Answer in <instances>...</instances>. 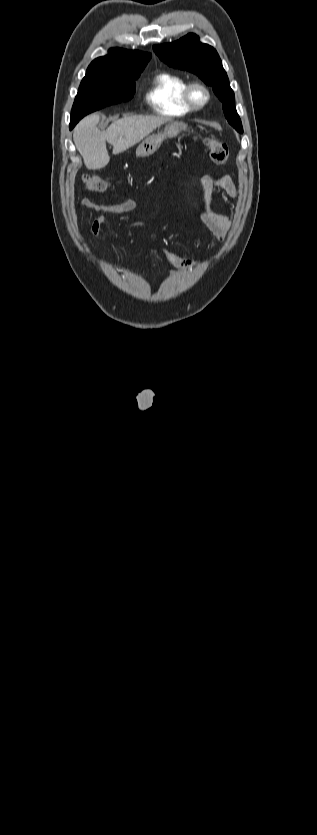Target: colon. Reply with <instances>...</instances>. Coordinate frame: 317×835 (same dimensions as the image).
<instances>
[{
	"label": "colon",
	"instance_id": "5ec220e1",
	"mask_svg": "<svg viewBox=\"0 0 317 835\" xmlns=\"http://www.w3.org/2000/svg\"><path fill=\"white\" fill-rule=\"evenodd\" d=\"M204 143L208 149L210 160L217 165H225L228 160V147L214 137H205ZM83 182L87 191L102 193L108 188V182L98 175H86Z\"/></svg>",
	"mask_w": 317,
	"mask_h": 835
}]
</instances>
